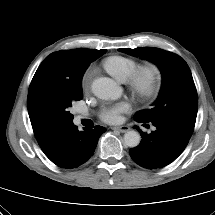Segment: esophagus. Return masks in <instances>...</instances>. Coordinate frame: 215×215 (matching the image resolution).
Returning a JSON list of instances; mask_svg holds the SVG:
<instances>
[{"label":"esophagus","mask_w":215,"mask_h":215,"mask_svg":"<svg viewBox=\"0 0 215 215\" xmlns=\"http://www.w3.org/2000/svg\"><path fill=\"white\" fill-rule=\"evenodd\" d=\"M112 129H113V130H117V131H119V132H121V133H125V132H127V131L130 130V128H129L128 126H126V125L115 126V127H113Z\"/></svg>","instance_id":"esophagus-1"}]
</instances>
